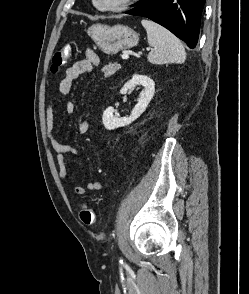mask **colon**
<instances>
[{
    "label": "colon",
    "mask_w": 249,
    "mask_h": 294,
    "mask_svg": "<svg viewBox=\"0 0 249 294\" xmlns=\"http://www.w3.org/2000/svg\"><path fill=\"white\" fill-rule=\"evenodd\" d=\"M71 48L69 45L60 46L54 54L51 70L58 72L63 68L70 59ZM79 218L86 226H92L96 222V215L94 210L86 204H83L79 210Z\"/></svg>",
    "instance_id": "5ec220e1"
}]
</instances>
